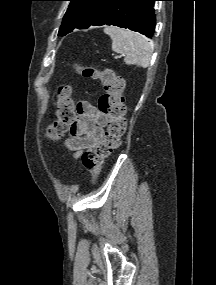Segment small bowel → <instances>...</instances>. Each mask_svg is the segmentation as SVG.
I'll return each instance as SVG.
<instances>
[{"label":"small bowel","mask_w":216,"mask_h":285,"mask_svg":"<svg viewBox=\"0 0 216 285\" xmlns=\"http://www.w3.org/2000/svg\"><path fill=\"white\" fill-rule=\"evenodd\" d=\"M77 111L78 118L71 125L72 138L68 145L80 151L90 148L102 139L107 118L88 102H80Z\"/></svg>","instance_id":"1"}]
</instances>
